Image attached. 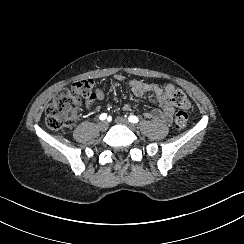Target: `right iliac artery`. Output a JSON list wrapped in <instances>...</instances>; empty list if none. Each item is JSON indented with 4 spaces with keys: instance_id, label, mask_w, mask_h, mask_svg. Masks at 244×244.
I'll use <instances>...</instances> for the list:
<instances>
[{
    "instance_id": "1",
    "label": "right iliac artery",
    "mask_w": 244,
    "mask_h": 244,
    "mask_svg": "<svg viewBox=\"0 0 244 244\" xmlns=\"http://www.w3.org/2000/svg\"><path fill=\"white\" fill-rule=\"evenodd\" d=\"M100 120H105L107 118V114L106 113H103L100 115ZM111 119V116L108 117V120Z\"/></svg>"
}]
</instances>
